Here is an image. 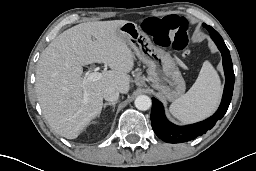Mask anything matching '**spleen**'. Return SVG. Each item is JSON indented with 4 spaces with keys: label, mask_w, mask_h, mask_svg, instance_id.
Here are the masks:
<instances>
[{
    "label": "spleen",
    "mask_w": 256,
    "mask_h": 171,
    "mask_svg": "<svg viewBox=\"0 0 256 171\" xmlns=\"http://www.w3.org/2000/svg\"><path fill=\"white\" fill-rule=\"evenodd\" d=\"M221 94L220 78L211 63L205 61L193 86L170 105L169 111L181 122H196L216 110Z\"/></svg>",
    "instance_id": "3e777b00"
}]
</instances>
